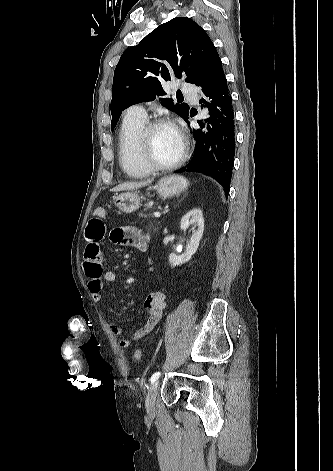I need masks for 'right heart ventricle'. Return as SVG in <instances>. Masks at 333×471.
I'll return each instance as SVG.
<instances>
[{
  "mask_svg": "<svg viewBox=\"0 0 333 471\" xmlns=\"http://www.w3.org/2000/svg\"><path fill=\"white\" fill-rule=\"evenodd\" d=\"M146 123V118L125 115L119 129L118 160L120 167L130 178H144L153 172L142 161L138 149L139 135Z\"/></svg>",
  "mask_w": 333,
  "mask_h": 471,
  "instance_id": "obj_1",
  "label": "right heart ventricle"
}]
</instances>
